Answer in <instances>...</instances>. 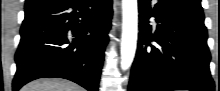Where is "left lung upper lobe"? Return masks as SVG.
Here are the masks:
<instances>
[{
    "label": "left lung upper lobe",
    "instance_id": "1",
    "mask_svg": "<svg viewBox=\"0 0 220 91\" xmlns=\"http://www.w3.org/2000/svg\"><path fill=\"white\" fill-rule=\"evenodd\" d=\"M178 1L183 2V3H187V4L194 6L198 9H202L201 0H178Z\"/></svg>",
    "mask_w": 220,
    "mask_h": 91
}]
</instances>
